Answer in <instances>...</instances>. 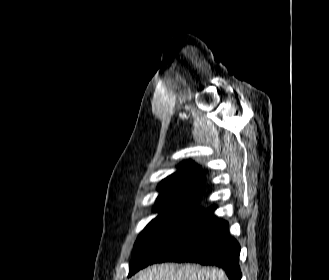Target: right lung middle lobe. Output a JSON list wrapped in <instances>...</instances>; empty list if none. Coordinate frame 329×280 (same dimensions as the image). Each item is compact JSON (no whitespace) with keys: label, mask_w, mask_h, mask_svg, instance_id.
Wrapping results in <instances>:
<instances>
[{"label":"right lung middle lobe","mask_w":329,"mask_h":280,"mask_svg":"<svg viewBox=\"0 0 329 280\" xmlns=\"http://www.w3.org/2000/svg\"><path fill=\"white\" fill-rule=\"evenodd\" d=\"M198 202L195 199L172 198L157 203L154 209L159 215L144 228L135 243L129 276L147 266L202 212L197 207Z\"/></svg>","instance_id":"obj_1"}]
</instances>
